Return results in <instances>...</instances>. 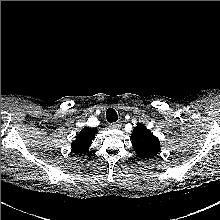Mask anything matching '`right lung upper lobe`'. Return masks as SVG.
Instances as JSON below:
<instances>
[{"label": "right lung upper lobe", "instance_id": "cb5924a9", "mask_svg": "<svg viewBox=\"0 0 220 220\" xmlns=\"http://www.w3.org/2000/svg\"><path fill=\"white\" fill-rule=\"evenodd\" d=\"M98 132L96 128H84L79 134L76 135L75 141L72 142V150L76 154L87 153L95 134Z\"/></svg>", "mask_w": 220, "mask_h": 220}]
</instances>
